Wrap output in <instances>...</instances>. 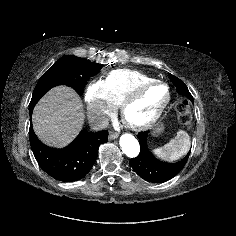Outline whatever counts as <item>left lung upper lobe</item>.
<instances>
[{"label":"left lung upper lobe","instance_id":"5c2ea615","mask_svg":"<svg viewBox=\"0 0 236 236\" xmlns=\"http://www.w3.org/2000/svg\"><path fill=\"white\" fill-rule=\"evenodd\" d=\"M169 77H170L172 83L176 86V90L178 93L187 96L189 99L192 98V95L190 94L187 86L184 84V82L182 80L173 76L172 74H169Z\"/></svg>","mask_w":236,"mask_h":236}]
</instances>
